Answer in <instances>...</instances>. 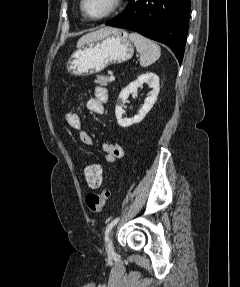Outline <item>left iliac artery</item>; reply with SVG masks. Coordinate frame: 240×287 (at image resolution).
Wrapping results in <instances>:
<instances>
[{
  "mask_svg": "<svg viewBox=\"0 0 240 287\" xmlns=\"http://www.w3.org/2000/svg\"><path fill=\"white\" fill-rule=\"evenodd\" d=\"M119 217L115 218L110 224H108L106 231H105V241H108V234L110 232V230L117 224V222L119 221Z\"/></svg>",
  "mask_w": 240,
  "mask_h": 287,
  "instance_id": "1",
  "label": "left iliac artery"
}]
</instances>
